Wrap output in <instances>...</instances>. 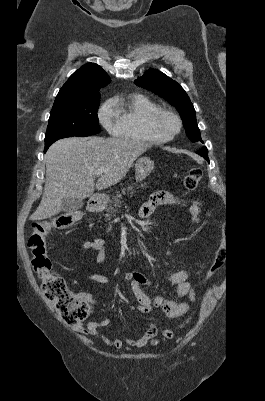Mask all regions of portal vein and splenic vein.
<instances>
[{
  "label": "portal vein and splenic vein",
  "instance_id": "portal-vein-and-splenic-vein-1",
  "mask_svg": "<svg viewBox=\"0 0 265 401\" xmlns=\"http://www.w3.org/2000/svg\"><path fill=\"white\" fill-rule=\"evenodd\" d=\"M105 168H98V170H96V172H93V174H95V176H99V174H102V172H104Z\"/></svg>",
  "mask_w": 265,
  "mask_h": 401
}]
</instances>
